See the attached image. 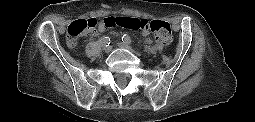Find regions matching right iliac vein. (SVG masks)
I'll return each instance as SVG.
<instances>
[{"label": "right iliac vein", "mask_w": 255, "mask_h": 122, "mask_svg": "<svg viewBox=\"0 0 255 122\" xmlns=\"http://www.w3.org/2000/svg\"><path fill=\"white\" fill-rule=\"evenodd\" d=\"M105 53H110L111 52V50H112V47L111 46H107V47H105Z\"/></svg>", "instance_id": "63e3f726"}]
</instances>
